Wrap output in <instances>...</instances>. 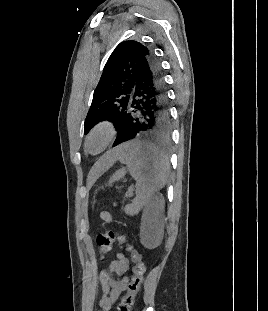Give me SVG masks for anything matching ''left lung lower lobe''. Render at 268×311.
Wrapping results in <instances>:
<instances>
[{
  "mask_svg": "<svg viewBox=\"0 0 268 311\" xmlns=\"http://www.w3.org/2000/svg\"><path fill=\"white\" fill-rule=\"evenodd\" d=\"M170 123L161 65L151 54L138 68L129 112L113 146L122 140L167 141Z\"/></svg>",
  "mask_w": 268,
  "mask_h": 311,
  "instance_id": "0a47b994",
  "label": "left lung lower lobe"
}]
</instances>
